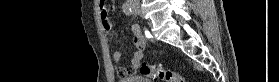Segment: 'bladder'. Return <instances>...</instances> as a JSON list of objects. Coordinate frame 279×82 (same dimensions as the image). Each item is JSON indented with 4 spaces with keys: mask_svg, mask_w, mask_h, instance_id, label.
I'll return each mask as SVG.
<instances>
[{
    "mask_svg": "<svg viewBox=\"0 0 279 82\" xmlns=\"http://www.w3.org/2000/svg\"><path fill=\"white\" fill-rule=\"evenodd\" d=\"M118 82H152V81L148 80L143 75H133V76L121 78L118 80Z\"/></svg>",
    "mask_w": 279,
    "mask_h": 82,
    "instance_id": "bladder-1",
    "label": "bladder"
}]
</instances>
